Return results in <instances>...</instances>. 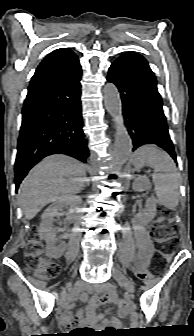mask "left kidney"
Masks as SVG:
<instances>
[{"label": "left kidney", "mask_w": 194, "mask_h": 336, "mask_svg": "<svg viewBox=\"0 0 194 336\" xmlns=\"http://www.w3.org/2000/svg\"><path fill=\"white\" fill-rule=\"evenodd\" d=\"M151 188V183L149 179L145 176H140L136 178L133 182V189L135 191L141 192L149 190ZM156 200L154 198H148L145 209L143 212H140L133 219V222L137 225L145 226L156 216Z\"/></svg>", "instance_id": "obj_1"}]
</instances>
